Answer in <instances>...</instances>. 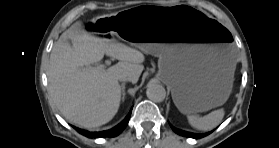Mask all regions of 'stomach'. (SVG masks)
I'll return each instance as SVG.
<instances>
[{"instance_id": "1", "label": "stomach", "mask_w": 279, "mask_h": 148, "mask_svg": "<svg viewBox=\"0 0 279 148\" xmlns=\"http://www.w3.org/2000/svg\"><path fill=\"white\" fill-rule=\"evenodd\" d=\"M101 20V37L117 36L159 57L157 77L181 113L205 112L228 99L236 66L233 36L204 12L133 6Z\"/></svg>"}]
</instances>
